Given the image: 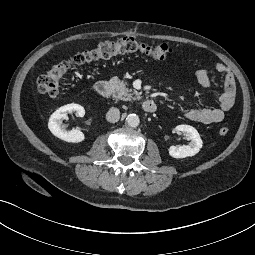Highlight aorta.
Returning a JSON list of instances; mask_svg holds the SVG:
<instances>
[{
	"label": "aorta",
	"mask_w": 255,
	"mask_h": 255,
	"mask_svg": "<svg viewBox=\"0 0 255 255\" xmlns=\"http://www.w3.org/2000/svg\"><path fill=\"white\" fill-rule=\"evenodd\" d=\"M126 122L128 126L135 128L139 125L140 119L139 116L136 114H129L126 118Z\"/></svg>",
	"instance_id": "aorta-1"
}]
</instances>
